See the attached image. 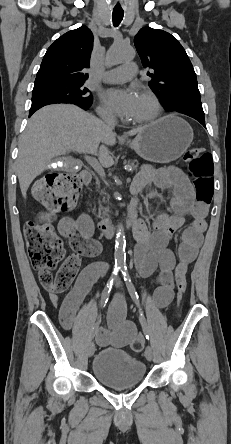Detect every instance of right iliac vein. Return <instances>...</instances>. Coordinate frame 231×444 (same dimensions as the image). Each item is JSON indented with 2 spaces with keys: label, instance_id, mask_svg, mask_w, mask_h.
Here are the masks:
<instances>
[{
  "label": "right iliac vein",
  "instance_id": "right-iliac-vein-1",
  "mask_svg": "<svg viewBox=\"0 0 231 444\" xmlns=\"http://www.w3.org/2000/svg\"><path fill=\"white\" fill-rule=\"evenodd\" d=\"M94 353H95V345H94V343H90L89 349H88V355L90 357H92L94 355Z\"/></svg>",
  "mask_w": 231,
  "mask_h": 444
}]
</instances>
